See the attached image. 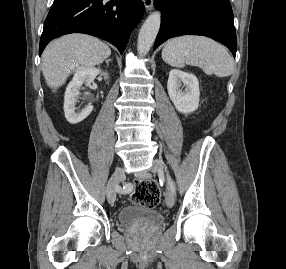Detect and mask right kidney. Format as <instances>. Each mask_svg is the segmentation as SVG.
<instances>
[{
    "label": "right kidney",
    "mask_w": 286,
    "mask_h": 269,
    "mask_svg": "<svg viewBox=\"0 0 286 269\" xmlns=\"http://www.w3.org/2000/svg\"><path fill=\"white\" fill-rule=\"evenodd\" d=\"M102 73L105 79H108L107 72H102L98 68H86L78 71L72 81L68 84L64 97L65 118L71 124H77L83 121L93 110V105L89 103L81 112H76V101L79 96V90L84 83L90 85L96 76Z\"/></svg>",
    "instance_id": "right-kidney-1"
}]
</instances>
